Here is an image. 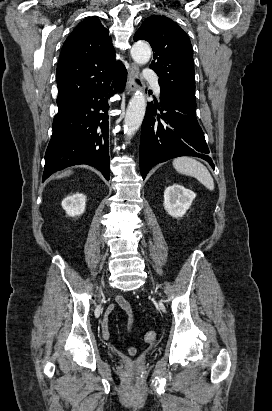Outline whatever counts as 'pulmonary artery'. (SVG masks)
<instances>
[{
    "mask_svg": "<svg viewBox=\"0 0 272 411\" xmlns=\"http://www.w3.org/2000/svg\"><path fill=\"white\" fill-rule=\"evenodd\" d=\"M143 78H144L145 80H147V81H152V82L154 83L155 91H156L158 94L160 93V87H159V85H158V83H157V80H158L157 74H156V72H155L154 70H152V69H146V70L143 72Z\"/></svg>",
    "mask_w": 272,
    "mask_h": 411,
    "instance_id": "e3ab8cb5",
    "label": "pulmonary artery"
}]
</instances>
